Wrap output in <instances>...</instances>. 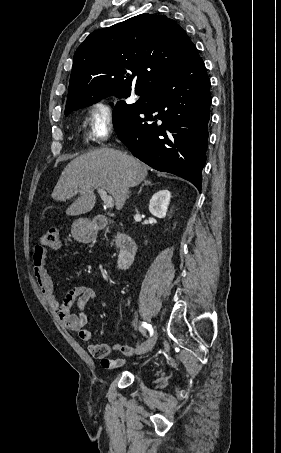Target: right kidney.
Here are the masks:
<instances>
[{
  "label": "right kidney",
  "instance_id": "right-kidney-1",
  "mask_svg": "<svg viewBox=\"0 0 281 453\" xmlns=\"http://www.w3.org/2000/svg\"><path fill=\"white\" fill-rule=\"evenodd\" d=\"M171 192L169 190H158L153 194L149 200V210L158 216V218H164L166 216L168 204L170 202Z\"/></svg>",
  "mask_w": 281,
  "mask_h": 453
}]
</instances>
